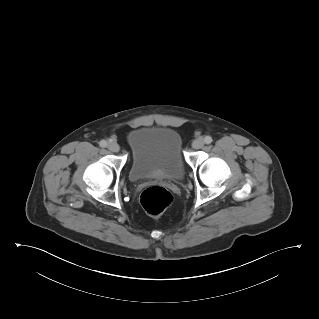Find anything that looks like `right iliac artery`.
I'll return each instance as SVG.
<instances>
[{
  "label": "right iliac artery",
  "mask_w": 319,
  "mask_h": 319,
  "mask_svg": "<svg viewBox=\"0 0 319 319\" xmlns=\"http://www.w3.org/2000/svg\"><path fill=\"white\" fill-rule=\"evenodd\" d=\"M99 145H100L101 147L105 148V147H107L108 144H107V141L102 140V141L99 142Z\"/></svg>",
  "instance_id": "1"
}]
</instances>
